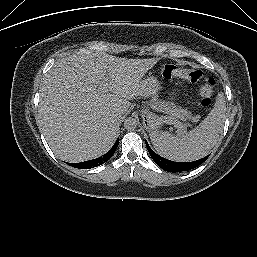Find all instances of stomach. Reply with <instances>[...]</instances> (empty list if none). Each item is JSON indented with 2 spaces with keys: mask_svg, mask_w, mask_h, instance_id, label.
I'll use <instances>...</instances> for the list:
<instances>
[{
  "mask_svg": "<svg viewBox=\"0 0 257 257\" xmlns=\"http://www.w3.org/2000/svg\"><path fill=\"white\" fill-rule=\"evenodd\" d=\"M143 87V96H152L158 94L162 90V85L159 80L155 77H148L147 79L142 81ZM144 118L147 120L148 124L151 128H157L162 125V120L155 118L153 115L149 113H145Z\"/></svg>",
  "mask_w": 257,
  "mask_h": 257,
  "instance_id": "1",
  "label": "stomach"
}]
</instances>
